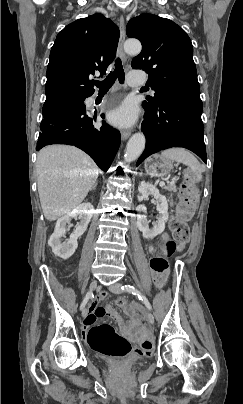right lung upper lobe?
<instances>
[{
    "label": "right lung upper lobe",
    "instance_id": "right-lung-upper-lobe-1",
    "mask_svg": "<svg viewBox=\"0 0 243 404\" xmlns=\"http://www.w3.org/2000/svg\"><path fill=\"white\" fill-rule=\"evenodd\" d=\"M118 40L117 25L99 13L67 25L50 52L45 104L91 96L94 88L90 79L98 71L101 76L106 74Z\"/></svg>",
    "mask_w": 243,
    "mask_h": 404
}]
</instances>
